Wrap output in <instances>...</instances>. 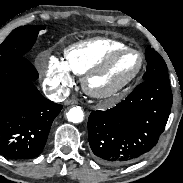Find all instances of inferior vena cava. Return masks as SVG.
<instances>
[{
  "mask_svg": "<svg viewBox=\"0 0 183 183\" xmlns=\"http://www.w3.org/2000/svg\"><path fill=\"white\" fill-rule=\"evenodd\" d=\"M45 95L54 102H62L64 101L68 95H69V89L68 88H63V89H46L44 90Z\"/></svg>",
  "mask_w": 183,
  "mask_h": 183,
  "instance_id": "inferior-vena-cava-1",
  "label": "inferior vena cava"
}]
</instances>
